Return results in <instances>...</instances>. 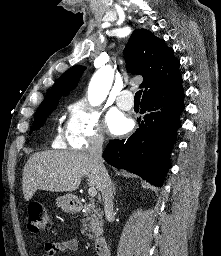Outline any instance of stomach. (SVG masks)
I'll return each mask as SVG.
<instances>
[{
  "label": "stomach",
  "instance_id": "1",
  "mask_svg": "<svg viewBox=\"0 0 221 256\" xmlns=\"http://www.w3.org/2000/svg\"><path fill=\"white\" fill-rule=\"evenodd\" d=\"M56 204L65 212H74L76 210V197L72 194H66L56 199Z\"/></svg>",
  "mask_w": 221,
  "mask_h": 256
}]
</instances>
